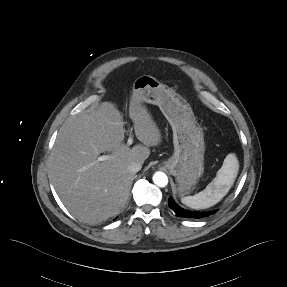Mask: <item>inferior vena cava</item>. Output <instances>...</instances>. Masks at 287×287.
Listing matches in <instances>:
<instances>
[{
	"label": "inferior vena cava",
	"mask_w": 287,
	"mask_h": 287,
	"mask_svg": "<svg viewBox=\"0 0 287 287\" xmlns=\"http://www.w3.org/2000/svg\"><path fill=\"white\" fill-rule=\"evenodd\" d=\"M142 168V164L140 162H133L128 166L129 171L136 173L140 171Z\"/></svg>",
	"instance_id": "1"
}]
</instances>
